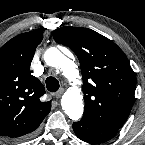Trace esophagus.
<instances>
[{
  "mask_svg": "<svg viewBox=\"0 0 145 145\" xmlns=\"http://www.w3.org/2000/svg\"><path fill=\"white\" fill-rule=\"evenodd\" d=\"M63 92H64L63 88L59 89L56 93H54V97L56 99H59L61 97V95L63 94Z\"/></svg>",
  "mask_w": 145,
  "mask_h": 145,
  "instance_id": "obj_1",
  "label": "esophagus"
}]
</instances>
